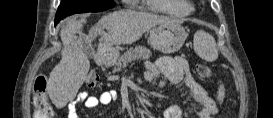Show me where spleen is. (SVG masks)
Segmentation results:
<instances>
[{
	"label": "spleen",
	"mask_w": 273,
	"mask_h": 118,
	"mask_svg": "<svg viewBox=\"0 0 273 118\" xmlns=\"http://www.w3.org/2000/svg\"><path fill=\"white\" fill-rule=\"evenodd\" d=\"M194 50L201 59L207 62H213L218 58L215 39L203 30L194 34Z\"/></svg>",
	"instance_id": "spleen-1"
}]
</instances>
